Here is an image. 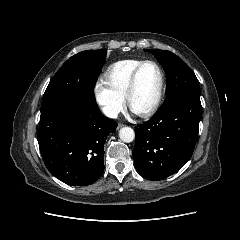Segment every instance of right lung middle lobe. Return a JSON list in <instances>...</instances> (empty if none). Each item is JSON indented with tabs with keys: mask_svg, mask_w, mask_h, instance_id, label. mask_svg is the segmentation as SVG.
<instances>
[{
	"mask_svg": "<svg viewBox=\"0 0 240 240\" xmlns=\"http://www.w3.org/2000/svg\"><path fill=\"white\" fill-rule=\"evenodd\" d=\"M105 58L106 50L82 51L69 58L50 80L41 109L62 101L97 105L94 86Z\"/></svg>",
	"mask_w": 240,
	"mask_h": 240,
	"instance_id": "dd1d6c3e",
	"label": "right lung middle lobe"
}]
</instances>
